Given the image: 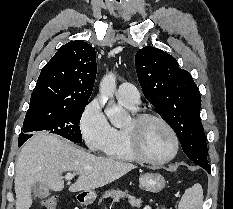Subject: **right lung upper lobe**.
Listing matches in <instances>:
<instances>
[{"instance_id": "cb5924a9", "label": "right lung upper lobe", "mask_w": 233, "mask_h": 209, "mask_svg": "<svg viewBox=\"0 0 233 209\" xmlns=\"http://www.w3.org/2000/svg\"><path fill=\"white\" fill-rule=\"evenodd\" d=\"M97 72L96 52L75 40L61 46L42 69L30 107H71L87 103Z\"/></svg>"}]
</instances>
